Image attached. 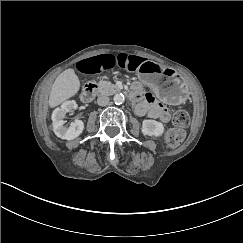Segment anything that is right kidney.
Wrapping results in <instances>:
<instances>
[{"instance_id": "ca27d5eb", "label": "right kidney", "mask_w": 243, "mask_h": 243, "mask_svg": "<svg viewBox=\"0 0 243 243\" xmlns=\"http://www.w3.org/2000/svg\"><path fill=\"white\" fill-rule=\"evenodd\" d=\"M77 108V102L70 101L62 104L60 108L53 111V130L58 138L71 141L78 138L83 133L85 125L82 120H75L68 127H66L65 120L63 119L67 113H70V111L76 110Z\"/></svg>"}]
</instances>
